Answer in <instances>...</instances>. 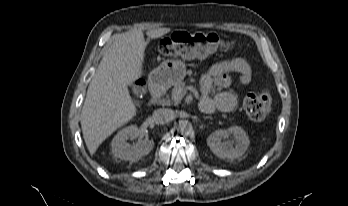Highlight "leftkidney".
<instances>
[{"mask_svg":"<svg viewBox=\"0 0 348 206\" xmlns=\"http://www.w3.org/2000/svg\"><path fill=\"white\" fill-rule=\"evenodd\" d=\"M228 141L222 142V140ZM250 140L246 132L238 126L227 130H216L207 138V145L218 157L236 159L242 156L248 149Z\"/></svg>","mask_w":348,"mask_h":206,"instance_id":"5707ae66","label":"left kidney"}]
</instances>
